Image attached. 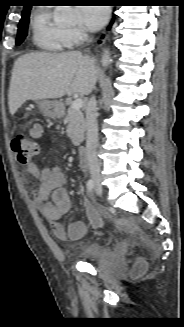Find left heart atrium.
Returning a JSON list of instances; mask_svg holds the SVG:
<instances>
[{
    "label": "left heart atrium",
    "mask_w": 184,
    "mask_h": 327,
    "mask_svg": "<svg viewBox=\"0 0 184 327\" xmlns=\"http://www.w3.org/2000/svg\"><path fill=\"white\" fill-rule=\"evenodd\" d=\"M81 24L90 31L100 29L107 21L109 9L106 7H93L85 5L78 10Z\"/></svg>",
    "instance_id": "obj_1"
}]
</instances>
